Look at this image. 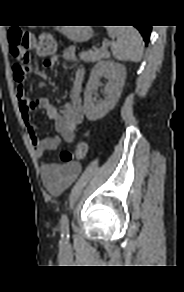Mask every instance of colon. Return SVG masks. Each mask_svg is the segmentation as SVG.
Returning a JSON list of instances; mask_svg holds the SVG:
<instances>
[{"instance_id": "5ec220e1", "label": "colon", "mask_w": 184, "mask_h": 292, "mask_svg": "<svg viewBox=\"0 0 184 292\" xmlns=\"http://www.w3.org/2000/svg\"><path fill=\"white\" fill-rule=\"evenodd\" d=\"M11 54L17 61L21 70L26 69L29 61L28 49L33 44V37L30 33L21 28L12 27L8 32ZM57 46L50 34H42L36 44V51L40 56H51L56 52ZM88 150L86 142H80L74 151H62L60 160L63 163H71L83 159Z\"/></svg>"}]
</instances>
